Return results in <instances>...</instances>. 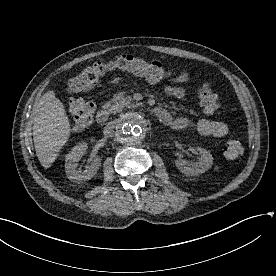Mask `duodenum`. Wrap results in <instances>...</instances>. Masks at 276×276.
Listing matches in <instances>:
<instances>
[{"mask_svg":"<svg viewBox=\"0 0 276 276\" xmlns=\"http://www.w3.org/2000/svg\"><path fill=\"white\" fill-rule=\"evenodd\" d=\"M154 114L156 117L161 121L164 122L168 119V114L164 109L161 108H155ZM110 119V111L106 108L100 109L96 114V121L99 124H106Z\"/></svg>","mask_w":276,"mask_h":276,"instance_id":"obj_1","label":"duodenum"}]
</instances>
